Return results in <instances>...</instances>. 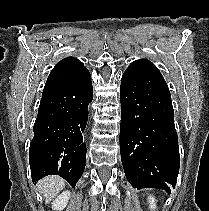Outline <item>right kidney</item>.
Returning a JSON list of instances; mask_svg holds the SVG:
<instances>
[{"instance_id":"right-kidney-1","label":"right kidney","mask_w":209,"mask_h":211,"mask_svg":"<svg viewBox=\"0 0 209 211\" xmlns=\"http://www.w3.org/2000/svg\"><path fill=\"white\" fill-rule=\"evenodd\" d=\"M70 195L71 193L69 191H64L59 196H57L52 202V210L62 211L66 207Z\"/></svg>"}]
</instances>
